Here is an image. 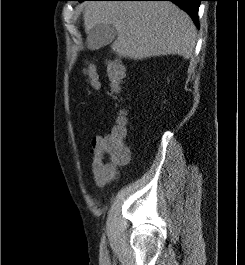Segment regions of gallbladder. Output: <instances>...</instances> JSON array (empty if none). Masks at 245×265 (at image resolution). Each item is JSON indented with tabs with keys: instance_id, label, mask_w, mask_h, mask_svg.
Segmentation results:
<instances>
[{
	"instance_id": "obj_1",
	"label": "gallbladder",
	"mask_w": 245,
	"mask_h": 265,
	"mask_svg": "<svg viewBox=\"0 0 245 265\" xmlns=\"http://www.w3.org/2000/svg\"><path fill=\"white\" fill-rule=\"evenodd\" d=\"M116 35L117 31L113 25L97 24L88 32L87 45L90 49H99L109 45Z\"/></svg>"
}]
</instances>
